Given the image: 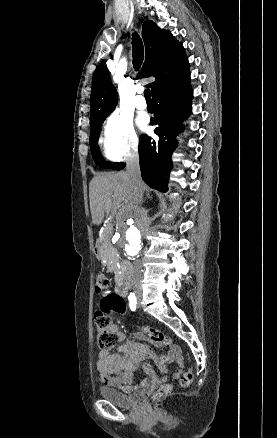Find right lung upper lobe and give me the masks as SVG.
Instances as JSON below:
<instances>
[{
  "mask_svg": "<svg viewBox=\"0 0 277 438\" xmlns=\"http://www.w3.org/2000/svg\"><path fill=\"white\" fill-rule=\"evenodd\" d=\"M142 36L146 59L138 78L155 77V81L147 85L154 93L160 85L188 70L189 63L182 43L154 22H144ZM117 102L118 94L111 84L107 66L100 63L92 79L90 123L104 121Z\"/></svg>",
  "mask_w": 277,
  "mask_h": 438,
  "instance_id": "right-lung-upper-lobe-1",
  "label": "right lung upper lobe"
}]
</instances>
